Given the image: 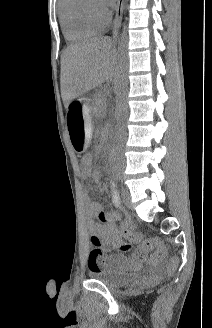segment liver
I'll list each match as a JSON object with an SVG mask.
<instances>
[{"label":"liver","instance_id":"1","mask_svg":"<svg viewBox=\"0 0 212 328\" xmlns=\"http://www.w3.org/2000/svg\"><path fill=\"white\" fill-rule=\"evenodd\" d=\"M114 69L113 41L94 37L71 45L61 57V94L67 105L112 79Z\"/></svg>","mask_w":212,"mask_h":328}]
</instances>
